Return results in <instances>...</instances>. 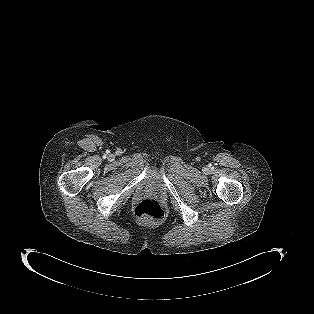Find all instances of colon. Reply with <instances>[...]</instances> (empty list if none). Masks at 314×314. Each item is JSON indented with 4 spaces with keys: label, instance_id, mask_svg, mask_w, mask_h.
Here are the masks:
<instances>
[{
    "label": "colon",
    "instance_id": "obj_1",
    "mask_svg": "<svg viewBox=\"0 0 314 314\" xmlns=\"http://www.w3.org/2000/svg\"><path fill=\"white\" fill-rule=\"evenodd\" d=\"M135 215L140 219L160 220L164 216V210L158 201L144 199L135 207Z\"/></svg>",
    "mask_w": 314,
    "mask_h": 314
}]
</instances>
